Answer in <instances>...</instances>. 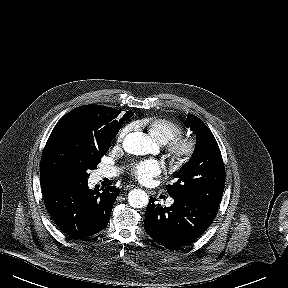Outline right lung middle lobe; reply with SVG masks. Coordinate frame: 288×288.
I'll return each mask as SVG.
<instances>
[{"label":"right lung middle lobe","mask_w":288,"mask_h":288,"mask_svg":"<svg viewBox=\"0 0 288 288\" xmlns=\"http://www.w3.org/2000/svg\"><path fill=\"white\" fill-rule=\"evenodd\" d=\"M118 111L106 114L98 129L86 132L76 123H65L52 131L44 148L40 164L41 187L75 185L87 182L89 171L97 167L109 150L123 121Z\"/></svg>","instance_id":"right-lung-middle-lobe-1"}]
</instances>
